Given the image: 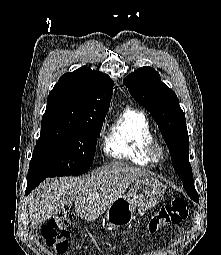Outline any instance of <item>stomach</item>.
<instances>
[{
    "label": "stomach",
    "mask_w": 221,
    "mask_h": 255,
    "mask_svg": "<svg viewBox=\"0 0 221 255\" xmlns=\"http://www.w3.org/2000/svg\"><path fill=\"white\" fill-rule=\"evenodd\" d=\"M161 182L149 176L135 180L127 195L117 198L106 210V219L114 227H125L134 219L136 208L148 210L163 197Z\"/></svg>",
    "instance_id": "1"
}]
</instances>
